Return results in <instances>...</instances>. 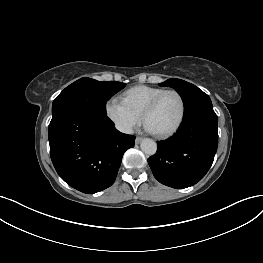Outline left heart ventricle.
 Segmentation results:
<instances>
[{"label": "left heart ventricle", "mask_w": 263, "mask_h": 263, "mask_svg": "<svg viewBox=\"0 0 263 263\" xmlns=\"http://www.w3.org/2000/svg\"><path fill=\"white\" fill-rule=\"evenodd\" d=\"M181 104L174 93L166 94L156 108L148 115L146 123L156 133H162L171 129L179 119Z\"/></svg>", "instance_id": "obj_1"}]
</instances>
